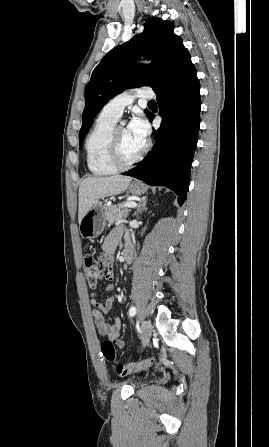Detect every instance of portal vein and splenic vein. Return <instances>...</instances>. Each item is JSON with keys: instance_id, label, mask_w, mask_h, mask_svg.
<instances>
[{"instance_id": "18ae733b", "label": "portal vein and splenic vein", "mask_w": 269, "mask_h": 447, "mask_svg": "<svg viewBox=\"0 0 269 447\" xmlns=\"http://www.w3.org/2000/svg\"><path fill=\"white\" fill-rule=\"evenodd\" d=\"M126 206H128V208H137L136 202H127ZM122 207H125V204H122V206H119V209H122Z\"/></svg>"}]
</instances>
